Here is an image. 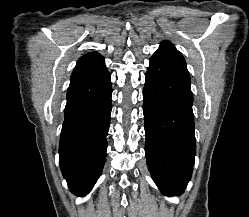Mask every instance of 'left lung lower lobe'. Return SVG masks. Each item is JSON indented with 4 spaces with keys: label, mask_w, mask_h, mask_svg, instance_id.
I'll list each match as a JSON object with an SVG mask.
<instances>
[{
    "label": "left lung lower lobe",
    "mask_w": 249,
    "mask_h": 217,
    "mask_svg": "<svg viewBox=\"0 0 249 217\" xmlns=\"http://www.w3.org/2000/svg\"><path fill=\"white\" fill-rule=\"evenodd\" d=\"M193 96L187 68L150 59L143 89L148 169L163 194H182L196 153Z\"/></svg>",
    "instance_id": "left-lung-lower-lobe-1"
}]
</instances>
